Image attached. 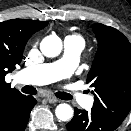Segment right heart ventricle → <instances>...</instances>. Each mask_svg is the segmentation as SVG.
<instances>
[{
  "label": "right heart ventricle",
  "instance_id": "right-heart-ventricle-1",
  "mask_svg": "<svg viewBox=\"0 0 131 131\" xmlns=\"http://www.w3.org/2000/svg\"><path fill=\"white\" fill-rule=\"evenodd\" d=\"M66 38H75V39H80L81 40V37L79 35H69Z\"/></svg>",
  "mask_w": 131,
  "mask_h": 131
}]
</instances>
